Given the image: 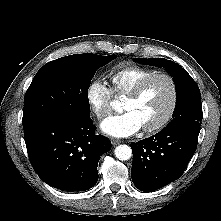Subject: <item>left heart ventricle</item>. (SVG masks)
<instances>
[{"label":"left heart ventricle","mask_w":221,"mask_h":221,"mask_svg":"<svg viewBox=\"0 0 221 221\" xmlns=\"http://www.w3.org/2000/svg\"><path fill=\"white\" fill-rule=\"evenodd\" d=\"M171 101V89L167 80L155 78L136 99H126L123 109L134 112L142 127L158 122L167 112Z\"/></svg>","instance_id":"b2bd125f"}]
</instances>
